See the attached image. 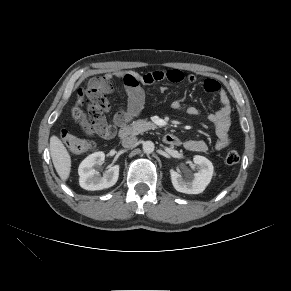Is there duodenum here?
I'll return each mask as SVG.
<instances>
[{
    "mask_svg": "<svg viewBox=\"0 0 291 291\" xmlns=\"http://www.w3.org/2000/svg\"><path fill=\"white\" fill-rule=\"evenodd\" d=\"M132 133V128L129 125L125 124L122 125L119 130V137L122 139H126L131 136ZM164 142L169 145H177L179 143V140L174 134L169 133L164 136Z\"/></svg>",
    "mask_w": 291,
    "mask_h": 291,
    "instance_id": "obj_1",
    "label": "duodenum"
}]
</instances>
